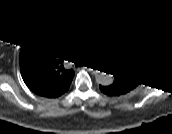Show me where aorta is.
<instances>
[{
	"label": "aorta",
	"mask_w": 172,
	"mask_h": 134,
	"mask_svg": "<svg viewBox=\"0 0 172 134\" xmlns=\"http://www.w3.org/2000/svg\"><path fill=\"white\" fill-rule=\"evenodd\" d=\"M97 74L100 76V75H105V73L103 72H100V71H97Z\"/></svg>",
	"instance_id": "1"
}]
</instances>
